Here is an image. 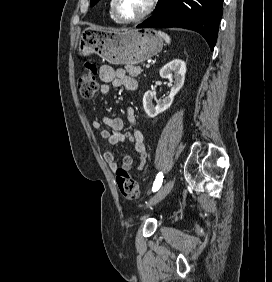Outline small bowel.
Here are the masks:
<instances>
[{
    "mask_svg": "<svg viewBox=\"0 0 272 282\" xmlns=\"http://www.w3.org/2000/svg\"><path fill=\"white\" fill-rule=\"evenodd\" d=\"M100 79L102 85L100 91L102 93H107L109 91L110 85L114 86H124L126 90L136 91L138 89V82L134 78L127 76L124 69H115L111 66L104 65L100 68ZM135 120V112L133 108H128L126 112V118L121 117H103L102 123L108 126L111 131L106 129H101L100 121H93L92 126L96 130H100L101 137L105 140V145H116L122 143L125 139H129L134 146L135 151L138 154L137 169L142 171L147 158V149L145 144V138L143 133L134 128L132 131L124 132V126L126 122L133 123ZM104 159L108 166L112 170H117L119 168L114 154L107 150L104 152ZM134 161L132 157L125 156L121 168L129 170L134 167Z\"/></svg>",
    "mask_w": 272,
    "mask_h": 282,
    "instance_id": "obj_1",
    "label": "small bowel"
}]
</instances>
